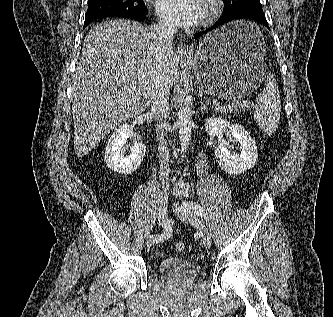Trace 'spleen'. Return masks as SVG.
Instances as JSON below:
<instances>
[{
	"label": "spleen",
	"instance_id": "obj_1",
	"mask_svg": "<svg viewBox=\"0 0 333 317\" xmlns=\"http://www.w3.org/2000/svg\"><path fill=\"white\" fill-rule=\"evenodd\" d=\"M257 30L261 32L258 27ZM256 101L259 108L253 113L254 120L263 131L271 135L280 122L281 113L280 93L273 76L268 77Z\"/></svg>",
	"mask_w": 333,
	"mask_h": 317
}]
</instances>
